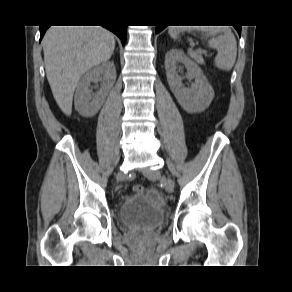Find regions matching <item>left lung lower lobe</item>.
Wrapping results in <instances>:
<instances>
[{
  "instance_id": "left-lung-lower-lobe-1",
  "label": "left lung lower lobe",
  "mask_w": 292,
  "mask_h": 292,
  "mask_svg": "<svg viewBox=\"0 0 292 292\" xmlns=\"http://www.w3.org/2000/svg\"><path fill=\"white\" fill-rule=\"evenodd\" d=\"M166 26L164 25H157L156 26V33H159L160 31H162ZM237 32L239 33V35L241 34V26L235 27Z\"/></svg>"
}]
</instances>
